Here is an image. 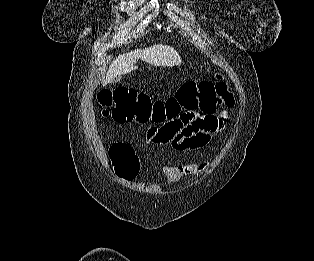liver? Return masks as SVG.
<instances>
[{
  "mask_svg": "<svg viewBox=\"0 0 314 261\" xmlns=\"http://www.w3.org/2000/svg\"><path fill=\"white\" fill-rule=\"evenodd\" d=\"M139 59L154 66L166 67H173L182 62L179 53L172 46L157 44L145 49H136L120 54L113 60L109 66L103 85L112 82L117 76L136 70L137 66L135 64Z\"/></svg>",
  "mask_w": 314,
  "mask_h": 261,
  "instance_id": "liver-1",
  "label": "liver"
}]
</instances>
